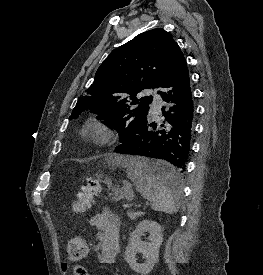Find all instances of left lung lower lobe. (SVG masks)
Instances as JSON below:
<instances>
[{
	"instance_id": "left-lung-lower-lobe-1",
	"label": "left lung lower lobe",
	"mask_w": 263,
	"mask_h": 275,
	"mask_svg": "<svg viewBox=\"0 0 263 275\" xmlns=\"http://www.w3.org/2000/svg\"><path fill=\"white\" fill-rule=\"evenodd\" d=\"M158 87L166 89L158 93L171 104L162 108L164 123L156 130L157 125L146 119L115 152L166 161L167 165L155 164L151 174L172 187L186 171L195 116L187 63L181 50L174 53Z\"/></svg>"
}]
</instances>
